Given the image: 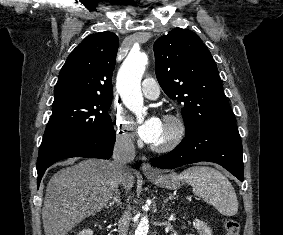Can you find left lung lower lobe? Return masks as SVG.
Returning <instances> with one entry per match:
<instances>
[{
    "label": "left lung lower lobe",
    "instance_id": "left-lung-lower-lobe-1",
    "mask_svg": "<svg viewBox=\"0 0 283 235\" xmlns=\"http://www.w3.org/2000/svg\"><path fill=\"white\" fill-rule=\"evenodd\" d=\"M243 150L236 124L207 128L188 134L166 155L152 158L151 164L161 169H173L185 164L209 161L222 165L239 180H243Z\"/></svg>",
    "mask_w": 283,
    "mask_h": 235
}]
</instances>
